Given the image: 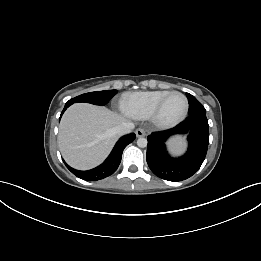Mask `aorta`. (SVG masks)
Masks as SVG:
<instances>
[{
  "label": "aorta",
  "mask_w": 261,
  "mask_h": 261,
  "mask_svg": "<svg viewBox=\"0 0 261 261\" xmlns=\"http://www.w3.org/2000/svg\"><path fill=\"white\" fill-rule=\"evenodd\" d=\"M147 139L146 138H139L138 140H137V145H138V147H140V148H144V147H146L147 146Z\"/></svg>",
  "instance_id": "1"
}]
</instances>
